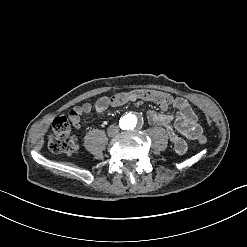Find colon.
I'll use <instances>...</instances> for the list:
<instances>
[{"instance_id": "1", "label": "colon", "mask_w": 247, "mask_h": 247, "mask_svg": "<svg viewBox=\"0 0 247 247\" xmlns=\"http://www.w3.org/2000/svg\"><path fill=\"white\" fill-rule=\"evenodd\" d=\"M138 96H143L145 101H158L159 109H166L168 106V94L161 92L160 88H134L133 92H114L111 107L118 109L125 101H136ZM204 135L199 136V141H205ZM48 147L51 152L57 154L72 155L77 151L78 145L71 134V123L64 116L56 118L51 126L48 135Z\"/></svg>"}]
</instances>
